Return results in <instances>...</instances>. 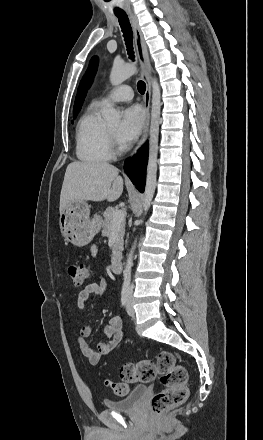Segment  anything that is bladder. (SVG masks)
<instances>
[{
  "label": "bladder",
  "mask_w": 263,
  "mask_h": 440,
  "mask_svg": "<svg viewBox=\"0 0 263 440\" xmlns=\"http://www.w3.org/2000/svg\"><path fill=\"white\" fill-rule=\"evenodd\" d=\"M147 391L148 387L146 385L136 386L124 398L104 400V406L109 410L118 412L135 411Z\"/></svg>",
  "instance_id": "1"
}]
</instances>
